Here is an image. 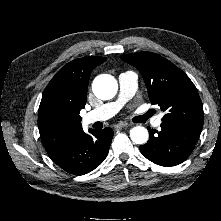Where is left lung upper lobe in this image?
I'll use <instances>...</instances> for the list:
<instances>
[{
	"label": "left lung upper lobe",
	"mask_w": 221,
	"mask_h": 221,
	"mask_svg": "<svg viewBox=\"0 0 221 221\" xmlns=\"http://www.w3.org/2000/svg\"><path fill=\"white\" fill-rule=\"evenodd\" d=\"M120 57L140 71L151 103L159 105L165 112L162 122L203 126L204 113L198 91L182 70L151 52Z\"/></svg>",
	"instance_id": "1"
}]
</instances>
